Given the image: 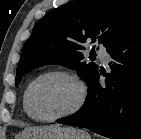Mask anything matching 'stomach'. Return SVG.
Returning <instances> with one entry per match:
<instances>
[{"instance_id":"0dacf381","label":"stomach","mask_w":141,"mask_h":139,"mask_svg":"<svg viewBox=\"0 0 141 139\" xmlns=\"http://www.w3.org/2000/svg\"><path fill=\"white\" fill-rule=\"evenodd\" d=\"M16 139H91V137L79 128L51 125L24 131Z\"/></svg>"}]
</instances>
